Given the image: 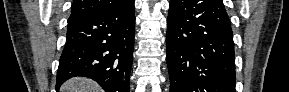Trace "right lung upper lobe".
<instances>
[{
  "mask_svg": "<svg viewBox=\"0 0 289 92\" xmlns=\"http://www.w3.org/2000/svg\"><path fill=\"white\" fill-rule=\"evenodd\" d=\"M126 0H74L70 19L111 9Z\"/></svg>",
  "mask_w": 289,
  "mask_h": 92,
  "instance_id": "right-lung-upper-lobe-1",
  "label": "right lung upper lobe"
}]
</instances>
